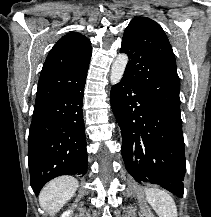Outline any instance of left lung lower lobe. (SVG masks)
Masks as SVG:
<instances>
[{
	"mask_svg": "<svg viewBox=\"0 0 211 217\" xmlns=\"http://www.w3.org/2000/svg\"><path fill=\"white\" fill-rule=\"evenodd\" d=\"M110 101L129 174L139 183L160 185L182 198L186 162L181 116L162 108L124 76L112 87Z\"/></svg>",
	"mask_w": 211,
	"mask_h": 217,
	"instance_id": "1",
	"label": "left lung lower lobe"
}]
</instances>
